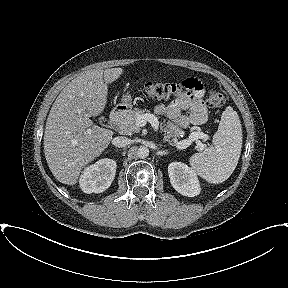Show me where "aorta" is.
<instances>
[{"label":"aorta","mask_w":288,"mask_h":288,"mask_svg":"<svg viewBox=\"0 0 288 288\" xmlns=\"http://www.w3.org/2000/svg\"><path fill=\"white\" fill-rule=\"evenodd\" d=\"M137 155L141 159H145L149 155V149L146 146H141L138 148Z\"/></svg>","instance_id":"aorta-1"}]
</instances>
